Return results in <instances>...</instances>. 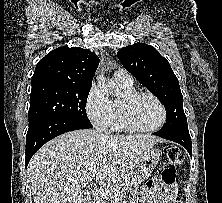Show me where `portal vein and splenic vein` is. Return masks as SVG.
Returning <instances> with one entry per match:
<instances>
[{"label": "portal vein and splenic vein", "mask_w": 222, "mask_h": 203, "mask_svg": "<svg viewBox=\"0 0 222 203\" xmlns=\"http://www.w3.org/2000/svg\"><path fill=\"white\" fill-rule=\"evenodd\" d=\"M93 175H95V174H97V170H94L93 172ZM97 183L96 184H90V186H97V184L99 185V186H101V187H106V188H110V185L108 184V185H106V184H104L103 183V181H96ZM83 184L84 185H88L89 184V181L88 180H83Z\"/></svg>", "instance_id": "1"}]
</instances>
